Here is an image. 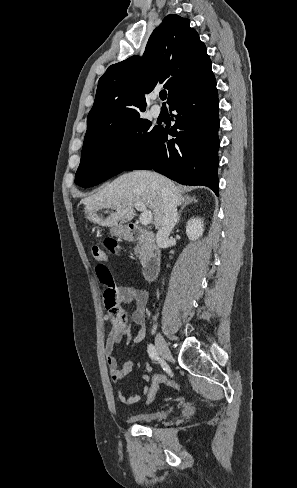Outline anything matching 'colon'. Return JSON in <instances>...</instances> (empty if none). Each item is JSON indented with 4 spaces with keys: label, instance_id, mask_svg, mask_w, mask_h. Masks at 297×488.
Masks as SVG:
<instances>
[{
    "label": "colon",
    "instance_id": "colon-1",
    "mask_svg": "<svg viewBox=\"0 0 297 488\" xmlns=\"http://www.w3.org/2000/svg\"><path fill=\"white\" fill-rule=\"evenodd\" d=\"M92 254L99 263L96 266V272L100 282L105 286L104 291V301L105 306L110 312L112 325L114 327L115 333L122 329L123 326V314L118 307V294H117V285L113 279L112 273L108 266L104 263L106 261L103 260L104 256H107L106 252L100 249L97 246H94L92 249ZM166 381V383L179 390L180 386L174 382L169 381L170 377L167 376L166 371L161 370L158 374H154L152 376V382L150 383V389L146 392V403L150 404L155 401V397L158 395L159 387L162 385V382Z\"/></svg>",
    "mask_w": 297,
    "mask_h": 488
}]
</instances>
